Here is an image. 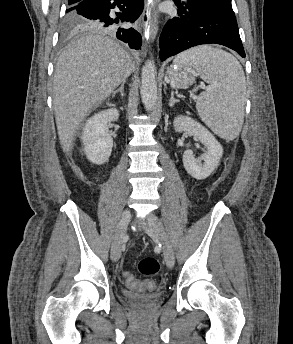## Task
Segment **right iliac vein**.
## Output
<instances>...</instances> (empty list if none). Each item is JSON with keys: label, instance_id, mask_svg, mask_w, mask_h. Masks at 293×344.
<instances>
[{"label": "right iliac vein", "instance_id": "right-iliac-vein-1", "mask_svg": "<svg viewBox=\"0 0 293 344\" xmlns=\"http://www.w3.org/2000/svg\"><path fill=\"white\" fill-rule=\"evenodd\" d=\"M131 220V211L129 209L124 210L121 219L118 223L115 235L113 237L111 247V259L117 261L121 255L122 239L125 235L127 226Z\"/></svg>", "mask_w": 293, "mask_h": 344}]
</instances>
